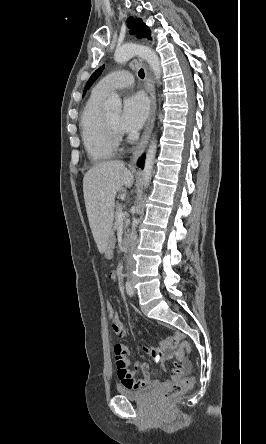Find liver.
<instances>
[{
    "instance_id": "obj_1",
    "label": "liver",
    "mask_w": 266,
    "mask_h": 444,
    "mask_svg": "<svg viewBox=\"0 0 266 444\" xmlns=\"http://www.w3.org/2000/svg\"><path fill=\"white\" fill-rule=\"evenodd\" d=\"M134 183L133 172L124 162L114 160L96 164L83 178L84 200L89 225L100 253L111 236L114 219L115 196Z\"/></svg>"
}]
</instances>
